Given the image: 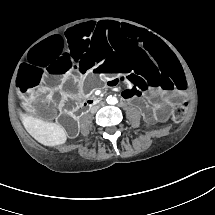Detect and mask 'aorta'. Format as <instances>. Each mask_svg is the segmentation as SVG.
I'll return each instance as SVG.
<instances>
[{"instance_id": "aorta-1", "label": "aorta", "mask_w": 215, "mask_h": 215, "mask_svg": "<svg viewBox=\"0 0 215 215\" xmlns=\"http://www.w3.org/2000/svg\"><path fill=\"white\" fill-rule=\"evenodd\" d=\"M107 102H108L109 104H111V105H115V104L118 103V100H117L116 97H108V98H107Z\"/></svg>"}]
</instances>
